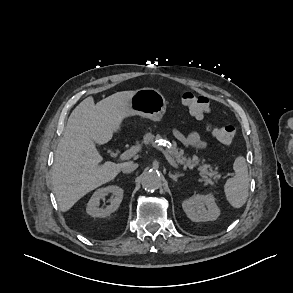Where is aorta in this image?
<instances>
[{
  "label": "aorta",
  "mask_w": 293,
  "mask_h": 293,
  "mask_svg": "<svg viewBox=\"0 0 293 293\" xmlns=\"http://www.w3.org/2000/svg\"><path fill=\"white\" fill-rule=\"evenodd\" d=\"M143 189L146 191H154L161 186V177L159 173L155 171H148L142 175L141 181Z\"/></svg>",
  "instance_id": "762f6f07"
}]
</instances>
